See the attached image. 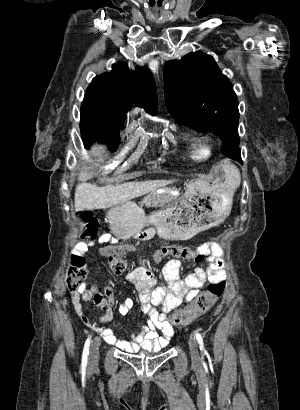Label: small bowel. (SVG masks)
<instances>
[{
    "mask_svg": "<svg viewBox=\"0 0 300 410\" xmlns=\"http://www.w3.org/2000/svg\"><path fill=\"white\" fill-rule=\"evenodd\" d=\"M108 239V236L104 235L99 242ZM94 245V242H80L75 245L74 252L78 256H84ZM198 249L208 255L206 264L181 277L180 261L171 259L163 267L164 284L158 283L153 272L141 259L139 265L127 273L126 279L136 288L142 311L148 318L142 324L141 330L132 334L131 340H122L112 329L92 323L85 313L82 302H92L103 312L101 323L112 321L115 297L110 286L104 288V294L97 283L81 291L71 292L75 312L84 325L100 332L104 340L112 346L130 353L139 349L158 351L166 346L174 335V328L168 321L167 314L180 307L182 303L190 301L207 282L220 281L224 278L223 252L220 246L215 242H209L200 245ZM105 251V248H100L101 253ZM134 305V300L127 298L119 305V314H128Z\"/></svg>",
    "mask_w": 300,
    "mask_h": 410,
    "instance_id": "obj_1",
    "label": "small bowel"
}]
</instances>
